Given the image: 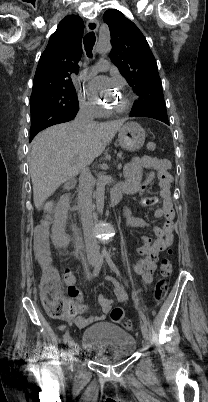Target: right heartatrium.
<instances>
[{"mask_svg": "<svg viewBox=\"0 0 208 402\" xmlns=\"http://www.w3.org/2000/svg\"><path fill=\"white\" fill-rule=\"evenodd\" d=\"M78 98L81 109L92 118H99L104 114V110L97 98L84 92H79Z\"/></svg>", "mask_w": 208, "mask_h": 402, "instance_id": "right-heart-atrium-1", "label": "right heart atrium"}]
</instances>
